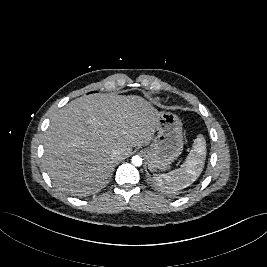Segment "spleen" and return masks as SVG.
Here are the masks:
<instances>
[{"label":"spleen","mask_w":267,"mask_h":267,"mask_svg":"<svg viewBox=\"0 0 267 267\" xmlns=\"http://www.w3.org/2000/svg\"><path fill=\"white\" fill-rule=\"evenodd\" d=\"M206 158V141L202 135L194 140L186 161L180 168L154 177L157 185L163 189L178 191L190 186L201 174Z\"/></svg>","instance_id":"obj_1"}]
</instances>
